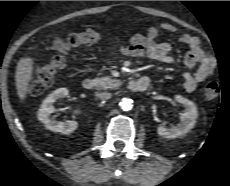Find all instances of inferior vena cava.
<instances>
[{
    "label": "inferior vena cava",
    "instance_id": "obj_1",
    "mask_svg": "<svg viewBox=\"0 0 230 186\" xmlns=\"http://www.w3.org/2000/svg\"><path fill=\"white\" fill-rule=\"evenodd\" d=\"M96 97H98L101 100H108L111 98L112 94L109 92H96Z\"/></svg>",
    "mask_w": 230,
    "mask_h": 186
}]
</instances>
